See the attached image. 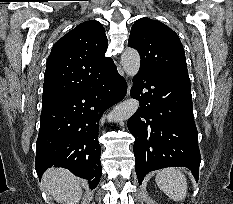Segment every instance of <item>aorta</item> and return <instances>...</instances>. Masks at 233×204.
<instances>
[{
  "instance_id": "1",
  "label": "aorta",
  "mask_w": 233,
  "mask_h": 204,
  "mask_svg": "<svg viewBox=\"0 0 233 204\" xmlns=\"http://www.w3.org/2000/svg\"><path fill=\"white\" fill-rule=\"evenodd\" d=\"M121 65L129 76H135L140 69L139 53L133 48H127L121 55ZM139 108V101L128 99L116 106L109 114L108 121L121 122L130 118Z\"/></svg>"
}]
</instances>
